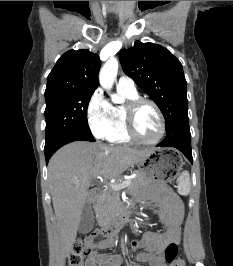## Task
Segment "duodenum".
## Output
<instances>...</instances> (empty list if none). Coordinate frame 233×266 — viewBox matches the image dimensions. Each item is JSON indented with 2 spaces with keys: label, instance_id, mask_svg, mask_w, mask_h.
I'll use <instances>...</instances> for the list:
<instances>
[{
  "label": "duodenum",
  "instance_id": "1",
  "mask_svg": "<svg viewBox=\"0 0 233 266\" xmlns=\"http://www.w3.org/2000/svg\"><path fill=\"white\" fill-rule=\"evenodd\" d=\"M94 201H98L100 197V191L94 190L91 194ZM132 210L130 206H126L120 209L117 219L114 222H109L105 224L102 228V232L109 239H112L113 236L120 230L122 225L126 220L131 216Z\"/></svg>",
  "mask_w": 233,
  "mask_h": 266
}]
</instances>
